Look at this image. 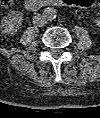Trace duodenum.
<instances>
[{
	"instance_id": "410a0bca",
	"label": "duodenum",
	"mask_w": 100,
	"mask_h": 118,
	"mask_svg": "<svg viewBox=\"0 0 100 118\" xmlns=\"http://www.w3.org/2000/svg\"><path fill=\"white\" fill-rule=\"evenodd\" d=\"M67 3V0H26L25 8L35 10L43 7L59 6Z\"/></svg>"
}]
</instances>
